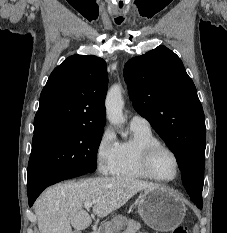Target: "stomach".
<instances>
[{
	"instance_id": "0dacf381",
	"label": "stomach",
	"mask_w": 227,
	"mask_h": 233,
	"mask_svg": "<svg viewBox=\"0 0 227 233\" xmlns=\"http://www.w3.org/2000/svg\"><path fill=\"white\" fill-rule=\"evenodd\" d=\"M135 206L144 222L156 231H171L181 224L186 208L182 200L165 188L146 189L136 199ZM125 219L117 216L104 225L101 233H114L124 226Z\"/></svg>"
}]
</instances>
